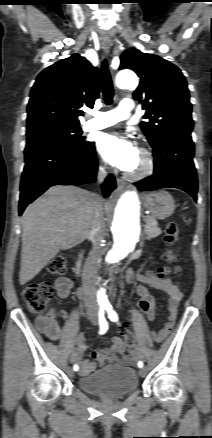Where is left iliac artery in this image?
I'll list each match as a JSON object with an SVG mask.
<instances>
[{"label": "left iliac artery", "mask_w": 212, "mask_h": 438, "mask_svg": "<svg viewBox=\"0 0 212 438\" xmlns=\"http://www.w3.org/2000/svg\"><path fill=\"white\" fill-rule=\"evenodd\" d=\"M106 310L108 312V317L111 321L116 322L118 320V315L117 313L112 309L111 306L106 307ZM138 367H143V362L139 361L138 362Z\"/></svg>", "instance_id": "1"}]
</instances>
